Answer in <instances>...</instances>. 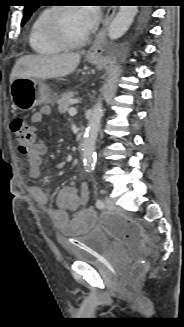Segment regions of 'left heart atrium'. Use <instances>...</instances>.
<instances>
[{"label":"left heart atrium","instance_id":"1","mask_svg":"<svg viewBox=\"0 0 184 327\" xmlns=\"http://www.w3.org/2000/svg\"><path fill=\"white\" fill-rule=\"evenodd\" d=\"M80 12L86 27L90 30L99 20V13L93 8H77Z\"/></svg>","mask_w":184,"mask_h":327}]
</instances>
